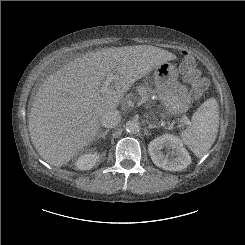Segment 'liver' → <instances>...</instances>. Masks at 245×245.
Returning a JSON list of instances; mask_svg holds the SVG:
<instances>
[{"label": "liver", "mask_w": 245, "mask_h": 245, "mask_svg": "<svg viewBox=\"0 0 245 245\" xmlns=\"http://www.w3.org/2000/svg\"><path fill=\"white\" fill-rule=\"evenodd\" d=\"M176 59L151 45L88 52L55 71L38 89L28 115L33 146L50 165H66L100 132L102 115L116 110L132 85L158 65ZM115 75L106 92L101 87Z\"/></svg>", "instance_id": "1"}]
</instances>
